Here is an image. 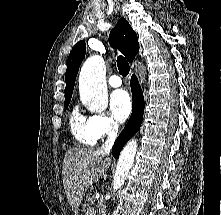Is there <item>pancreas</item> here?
<instances>
[{"label": "pancreas", "instance_id": "cf45deb5", "mask_svg": "<svg viewBox=\"0 0 221 215\" xmlns=\"http://www.w3.org/2000/svg\"><path fill=\"white\" fill-rule=\"evenodd\" d=\"M93 201H94V197L91 196V193H89L86 197V202H85V208L87 209V211L91 207L90 205L93 203ZM92 215H96V210L93 212Z\"/></svg>", "mask_w": 221, "mask_h": 215}]
</instances>
